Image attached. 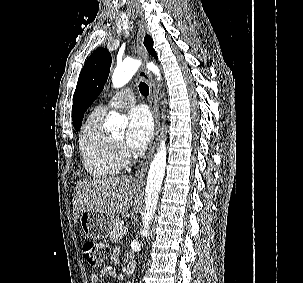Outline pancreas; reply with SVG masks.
<instances>
[{
	"instance_id": "1",
	"label": "pancreas",
	"mask_w": 303,
	"mask_h": 283,
	"mask_svg": "<svg viewBox=\"0 0 303 283\" xmlns=\"http://www.w3.org/2000/svg\"><path fill=\"white\" fill-rule=\"evenodd\" d=\"M120 220L119 219H114L112 222V230L110 233V238L112 240V242H117L118 240H120L123 236V225L120 224Z\"/></svg>"
}]
</instances>
